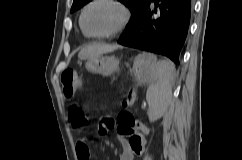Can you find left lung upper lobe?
<instances>
[{"label":"left lung upper lobe","instance_id":"5c2ea615","mask_svg":"<svg viewBox=\"0 0 242 160\" xmlns=\"http://www.w3.org/2000/svg\"><path fill=\"white\" fill-rule=\"evenodd\" d=\"M90 1L91 0H74L70 12H74V11L80 9L82 6H84L86 3L90 2ZM118 1L125 4L130 9L131 14H132V17L129 20V23L127 24L126 29L124 31V32H126L130 28L131 24L134 22L136 17L140 14V12L144 8V6L148 0H118Z\"/></svg>","mask_w":242,"mask_h":160}]
</instances>
